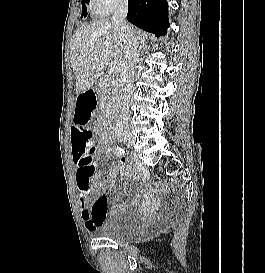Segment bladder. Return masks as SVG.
Masks as SVG:
<instances>
[{"label": "bladder", "instance_id": "31cf9c89", "mask_svg": "<svg viewBox=\"0 0 265 273\" xmlns=\"http://www.w3.org/2000/svg\"><path fill=\"white\" fill-rule=\"evenodd\" d=\"M141 220L136 213H113L96 226L94 233L105 239L124 241L137 235Z\"/></svg>", "mask_w": 265, "mask_h": 273}]
</instances>
